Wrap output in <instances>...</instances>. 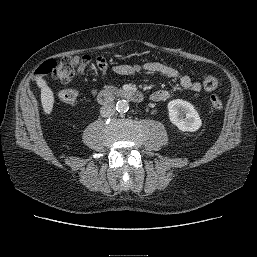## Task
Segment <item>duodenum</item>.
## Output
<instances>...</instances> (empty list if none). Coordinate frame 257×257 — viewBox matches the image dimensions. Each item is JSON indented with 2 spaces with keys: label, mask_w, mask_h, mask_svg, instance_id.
<instances>
[{
  "label": "duodenum",
  "mask_w": 257,
  "mask_h": 257,
  "mask_svg": "<svg viewBox=\"0 0 257 257\" xmlns=\"http://www.w3.org/2000/svg\"><path fill=\"white\" fill-rule=\"evenodd\" d=\"M128 99L134 103H141L143 101V94L136 89L123 90H104L97 95V100L100 104L106 105L115 99Z\"/></svg>",
  "instance_id": "1"
}]
</instances>
